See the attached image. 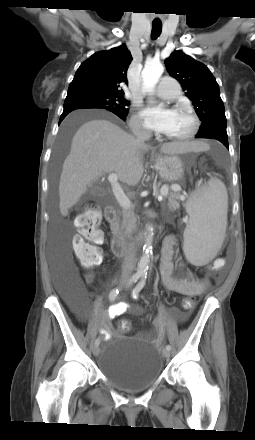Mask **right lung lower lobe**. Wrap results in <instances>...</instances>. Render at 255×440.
<instances>
[{
	"label": "right lung lower lobe",
	"mask_w": 255,
	"mask_h": 440,
	"mask_svg": "<svg viewBox=\"0 0 255 440\" xmlns=\"http://www.w3.org/2000/svg\"><path fill=\"white\" fill-rule=\"evenodd\" d=\"M75 109H79V108H76V107H68V108H64V111H63V113H62V115H61V117H60V120H59V123H61V121L65 118V116L67 115V114H69L71 111H73V110H75ZM117 116H119L122 120H126V117H122V116H120V115H118V114H116Z\"/></svg>",
	"instance_id": "right-lung-lower-lobe-1"
}]
</instances>
